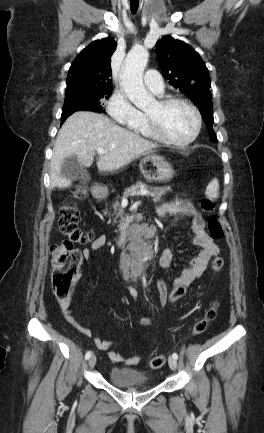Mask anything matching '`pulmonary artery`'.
<instances>
[{
  "instance_id": "1",
  "label": "pulmonary artery",
  "mask_w": 264,
  "mask_h": 433,
  "mask_svg": "<svg viewBox=\"0 0 264 433\" xmlns=\"http://www.w3.org/2000/svg\"><path fill=\"white\" fill-rule=\"evenodd\" d=\"M146 87L156 95H162L164 92V82L156 70H149L144 78Z\"/></svg>"
}]
</instances>
